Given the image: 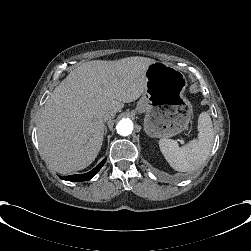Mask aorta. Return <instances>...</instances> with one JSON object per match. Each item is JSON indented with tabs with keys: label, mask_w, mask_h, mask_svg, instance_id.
<instances>
[{
	"label": "aorta",
	"mask_w": 251,
	"mask_h": 251,
	"mask_svg": "<svg viewBox=\"0 0 251 251\" xmlns=\"http://www.w3.org/2000/svg\"><path fill=\"white\" fill-rule=\"evenodd\" d=\"M117 133L121 136L129 135L133 130V122L130 119L124 118L119 121L116 127Z\"/></svg>",
	"instance_id": "obj_1"
}]
</instances>
